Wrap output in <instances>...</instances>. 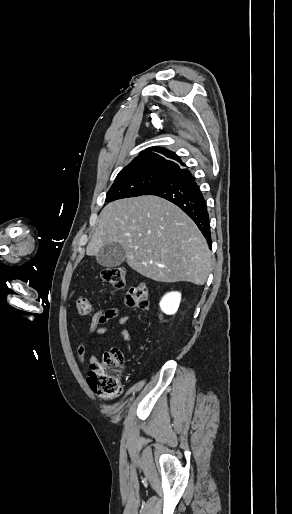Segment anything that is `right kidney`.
Returning a JSON list of instances; mask_svg holds the SVG:
<instances>
[{"label": "right kidney", "mask_w": 292, "mask_h": 514, "mask_svg": "<svg viewBox=\"0 0 292 514\" xmlns=\"http://www.w3.org/2000/svg\"><path fill=\"white\" fill-rule=\"evenodd\" d=\"M181 300L179 292H169L160 302V308L164 314H176Z\"/></svg>", "instance_id": "1"}]
</instances>
